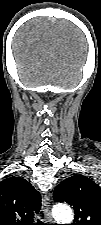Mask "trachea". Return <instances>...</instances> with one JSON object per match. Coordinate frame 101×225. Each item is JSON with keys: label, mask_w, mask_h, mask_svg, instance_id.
<instances>
[{"label": "trachea", "mask_w": 101, "mask_h": 225, "mask_svg": "<svg viewBox=\"0 0 101 225\" xmlns=\"http://www.w3.org/2000/svg\"><path fill=\"white\" fill-rule=\"evenodd\" d=\"M37 225H45L43 221H41L40 219H37Z\"/></svg>", "instance_id": "1"}]
</instances>
